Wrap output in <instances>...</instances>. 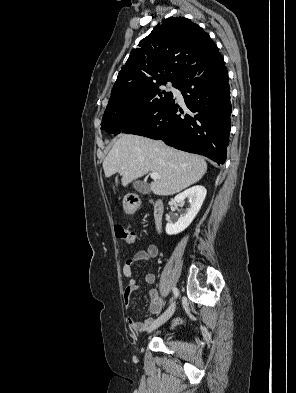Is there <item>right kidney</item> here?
I'll return each instance as SVG.
<instances>
[{
	"label": "right kidney",
	"instance_id": "ca27d5eb",
	"mask_svg": "<svg viewBox=\"0 0 296 393\" xmlns=\"http://www.w3.org/2000/svg\"><path fill=\"white\" fill-rule=\"evenodd\" d=\"M206 189L201 185L191 187L175 197V202L182 203L186 198L191 202L190 208L184 216L175 223H167L165 231L168 235H175L184 231L198 214L206 197Z\"/></svg>",
	"mask_w": 296,
	"mask_h": 393
}]
</instances>
